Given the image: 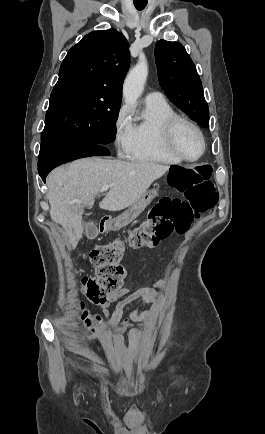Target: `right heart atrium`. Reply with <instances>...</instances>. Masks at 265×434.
I'll list each match as a JSON object with an SVG mask.
<instances>
[{
  "mask_svg": "<svg viewBox=\"0 0 265 434\" xmlns=\"http://www.w3.org/2000/svg\"><path fill=\"white\" fill-rule=\"evenodd\" d=\"M120 115L115 116L114 132L111 134L112 141L115 142V152L121 159H124L127 154L132 153V146L130 145V134L134 128L130 122V108L129 106H120Z\"/></svg>",
  "mask_w": 265,
  "mask_h": 434,
  "instance_id": "d8ad5b80",
  "label": "right heart atrium"
}]
</instances>
